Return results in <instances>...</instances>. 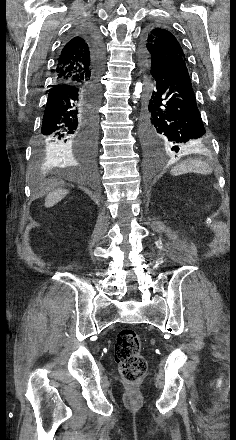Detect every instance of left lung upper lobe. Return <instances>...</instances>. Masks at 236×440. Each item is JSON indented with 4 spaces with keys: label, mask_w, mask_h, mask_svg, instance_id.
I'll list each match as a JSON object with an SVG mask.
<instances>
[{
    "label": "left lung upper lobe",
    "mask_w": 236,
    "mask_h": 440,
    "mask_svg": "<svg viewBox=\"0 0 236 440\" xmlns=\"http://www.w3.org/2000/svg\"><path fill=\"white\" fill-rule=\"evenodd\" d=\"M141 55L147 65L173 57L186 61L183 49L176 37L162 27H154L147 31L141 44Z\"/></svg>",
    "instance_id": "5c2ea615"
}]
</instances>
